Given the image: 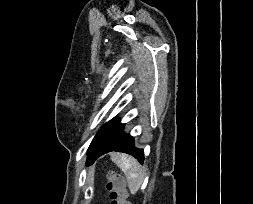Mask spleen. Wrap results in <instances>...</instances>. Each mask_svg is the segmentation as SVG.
I'll return each mask as SVG.
<instances>
[{
	"label": "spleen",
	"instance_id": "1",
	"mask_svg": "<svg viewBox=\"0 0 253 204\" xmlns=\"http://www.w3.org/2000/svg\"><path fill=\"white\" fill-rule=\"evenodd\" d=\"M111 159L123 171L130 192L137 193L144 180V170L138 161L125 154H111Z\"/></svg>",
	"mask_w": 253,
	"mask_h": 204
}]
</instances>
